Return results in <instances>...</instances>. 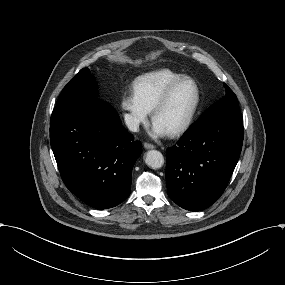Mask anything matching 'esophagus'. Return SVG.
Listing matches in <instances>:
<instances>
[{
    "label": "esophagus",
    "mask_w": 285,
    "mask_h": 285,
    "mask_svg": "<svg viewBox=\"0 0 285 285\" xmlns=\"http://www.w3.org/2000/svg\"><path fill=\"white\" fill-rule=\"evenodd\" d=\"M143 146H144L145 149H153V148H155V146L153 144L148 143V142H145L143 144Z\"/></svg>",
    "instance_id": "obj_1"
}]
</instances>
